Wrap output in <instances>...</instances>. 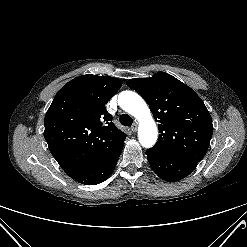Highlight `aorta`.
Segmentation results:
<instances>
[{"label": "aorta", "mask_w": 247, "mask_h": 247, "mask_svg": "<svg viewBox=\"0 0 247 247\" xmlns=\"http://www.w3.org/2000/svg\"><path fill=\"white\" fill-rule=\"evenodd\" d=\"M119 106L139 121L138 138L145 148L152 147L158 138V129L150 109L143 98L135 92L123 91L118 97Z\"/></svg>", "instance_id": "aorta-1"}]
</instances>
